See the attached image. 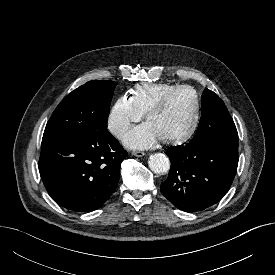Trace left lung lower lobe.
Returning <instances> with one entry per match:
<instances>
[{"instance_id":"obj_1","label":"left lung lower lobe","mask_w":275,"mask_h":275,"mask_svg":"<svg viewBox=\"0 0 275 275\" xmlns=\"http://www.w3.org/2000/svg\"><path fill=\"white\" fill-rule=\"evenodd\" d=\"M166 154L171 167L161 192L186 212L202 211L219 202L238 166V143H189L170 147Z\"/></svg>"}]
</instances>
